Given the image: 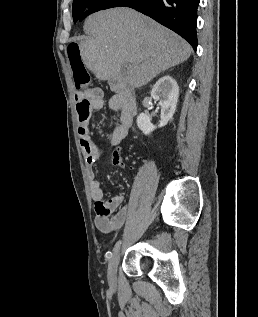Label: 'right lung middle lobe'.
Returning <instances> with one entry per match:
<instances>
[{
  "label": "right lung middle lobe",
  "instance_id": "right-lung-middle-lobe-1",
  "mask_svg": "<svg viewBox=\"0 0 258 317\" xmlns=\"http://www.w3.org/2000/svg\"><path fill=\"white\" fill-rule=\"evenodd\" d=\"M91 1L92 0H73L72 15L74 22L78 20L86 5Z\"/></svg>",
  "mask_w": 258,
  "mask_h": 317
}]
</instances>
